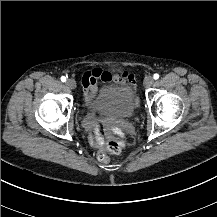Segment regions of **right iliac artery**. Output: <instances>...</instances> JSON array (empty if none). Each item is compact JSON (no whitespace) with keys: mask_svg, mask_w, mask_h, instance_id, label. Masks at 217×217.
<instances>
[{"mask_svg":"<svg viewBox=\"0 0 217 217\" xmlns=\"http://www.w3.org/2000/svg\"><path fill=\"white\" fill-rule=\"evenodd\" d=\"M61 81H62V82H65V81H66V77H65V76H62V77H61Z\"/></svg>","mask_w":217,"mask_h":217,"instance_id":"right-iliac-artery-1","label":"right iliac artery"}]
</instances>
